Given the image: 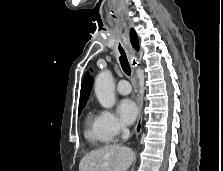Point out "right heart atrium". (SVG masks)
<instances>
[{
  "mask_svg": "<svg viewBox=\"0 0 223 171\" xmlns=\"http://www.w3.org/2000/svg\"><path fill=\"white\" fill-rule=\"evenodd\" d=\"M101 132L108 141L116 139L125 127L117 116L109 110H102L98 115Z\"/></svg>",
  "mask_w": 223,
  "mask_h": 171,
  "instance_id": "d8ad5b80",
  "label": "right heart atrium"
}]
</instances>
